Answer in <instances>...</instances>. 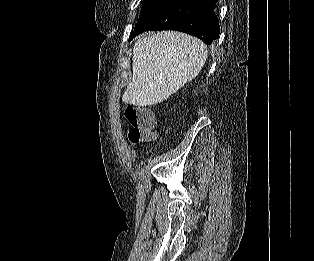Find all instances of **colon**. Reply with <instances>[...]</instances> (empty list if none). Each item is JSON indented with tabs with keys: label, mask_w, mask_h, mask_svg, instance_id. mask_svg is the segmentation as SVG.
I'll return each instance as SVG.
<instances>
[{
	"label": "colon",
	"mask_w": 314,
	"mask_h": 261,
	"mask_svg": "<svg viewBox=\"0 0 314 261\" xmlns=\"http://www.w3.org/2000/svg\"><path fill=\"white\" fill-rule=\"evenodd\" d=\"M124 114L131 126L128 139L133 145L154 139L155 116L149 108L129 105Z\"/></svg>",
	"instance_id": "1"
}]
</instances>
